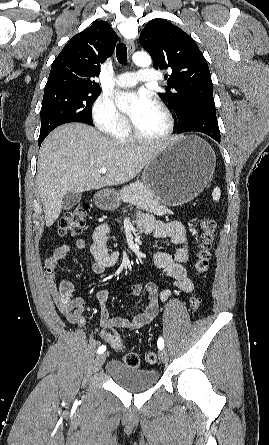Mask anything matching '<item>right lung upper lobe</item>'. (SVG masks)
<instances>
[{"mask_svg":"<svg viewBox=\"0 0 269 445\" xmlns=\"http://www.w3.org/2000/svg\"><path fill=\"white\" fill-rule=\"evenodd\" d=\"M117 41V34L105 21L75 35L53 61L44 92L100 91L93 78L99 76L100 64L111 56Z\"/></svg>","mask_w":269,"mask_h":445,"instance_id":"obj_1","label":"right lung upper lobe"}]
</instances>
